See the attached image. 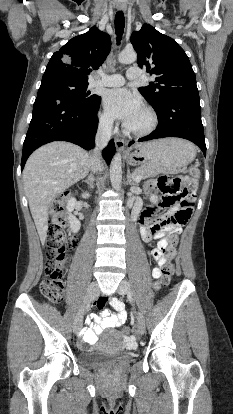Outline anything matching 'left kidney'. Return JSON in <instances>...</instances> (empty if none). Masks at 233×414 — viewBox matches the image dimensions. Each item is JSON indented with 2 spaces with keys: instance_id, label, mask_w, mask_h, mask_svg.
I'll return each mask as SVG.
<instances>
[{
  "instance_id": "5707ae66",
  "label": "left kidney",
  "mask_w": 233,
  "mask_h": 414,
  "mask_svg": "<svg viewBox=\"0 0 233 414\" xmlns=\"http://www.w3.org/2000/svg\"><path fill=\"white\" fill-rule=\"evenodd\" d=\"M150 200L152 203H157L159 199L156 195H151Z\"/></svg>"
}]
</instances>
